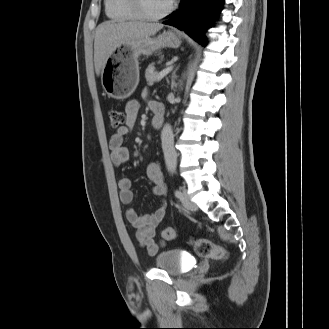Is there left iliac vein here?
Wrapping results in <instances>:
<instances>
[{"instance_id":"obj_1","label":"left iliac vein","mask_w":329,"mask_h":329,"mask_svg":"<svg viewBox=\"0 0 329 329\" xmlns=\"http://www.w3.org/2000/svg\"><path fill=\"white\" fill-rule=\"evenodd\" d=\"M183 206L190 211H195L197 210V205L191 201L187 191L184 189L182 191V197L180 198Z\"/></svg>"}]
</instances>
